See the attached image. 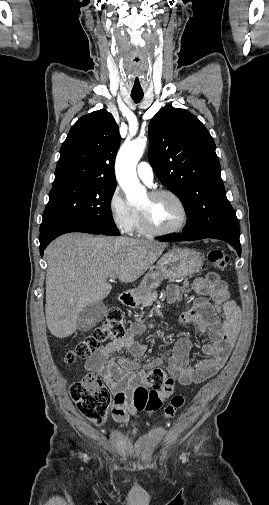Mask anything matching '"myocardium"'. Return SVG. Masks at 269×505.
<instances>
[{"mask_svg": "<svg viewBox=\"0 0 269 505\" xmlns=\"http://www.w3.org/2000/svg\"><path fill=\"white\" fill-rule=\"evenodd\" d=\"M148 194L152 198H157L160 196H169V197L173 198L181 207L182 220L175 227L162 229V228L155 226L152 223L148 213L145 210L139 208L138 211L140 214L141 223L147 233L153 234V235H158V236L171 235V234L181 232L187 226V224L189 222V218H190L189 209H188L186 203L184 202V200L177 193H175L174 191L169 190V189H155V190L150 191Z\"/></svg>", "mask_w": 269, "mask_h": 505, "instance_id": "myocardium-1", "label": "myocardium"}]
</instances>
